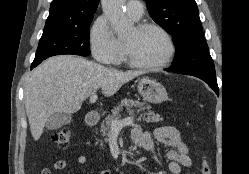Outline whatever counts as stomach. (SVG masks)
Wrapping results in <instances>:
<instances>
[{
    "mask_svg": "<svg viewBox=\"0 0 249 174\" xmlns=\"http://www.w3.org/2000/svg\"><path fill=\"white\" fill-rule=\"evenodd\" d=\"M138 91L143 99L150 103H162L167 99L166 89L157 81L150 78L138 80Z\"/></svg>",
    "mask_w": 249,
    "mask_h": 174,
    "instance_id": "obj_1",
    "label": "stomach"
}]
</instances>
